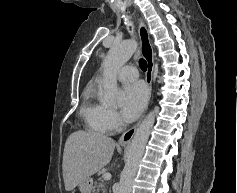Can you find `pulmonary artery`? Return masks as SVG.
Returning a JSON list of instances; mask_svg holds the SVG:
<instances>
[{"mask_svg": "<svg viewBox=\"0 0 237 193\" xmlns=\"http://www.w3.org/2000/svg\"><path fill=\"white\" fill-rule=\"evenodd\" d=\"M138 77V70L136 67L127 65L117 72V78L121 82H133Z\"/></svg>", "mask_w": 237, "mask_h": 193, "instance_id": "e3ab8cb5", "label": "pulmonary artery"}]
</instances>
